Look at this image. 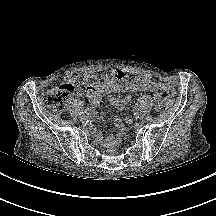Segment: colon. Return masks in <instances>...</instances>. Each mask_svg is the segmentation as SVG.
I'll return each mask as SVG.
<instances>
[{
  "instance_id": "obj_1",
  "label": "colon",
  "mask_w": 216,
  "mask_h": 216,
  "mask_svg": "<svg viewBox=\"0 0 216 216\" xmlns=\"http://www.w3.org/2000/svg\"><path fill=\"white\" fill-rule=\"evenodd\" d=\"M87 79L81 77L79 74L73 72L67 76V78L56 88L47 91L43 97V103L49 108L61 112L64 110L66 104L76 92L77 85L79 82H86ZM163 103L166 107L173 105L175 101V94L169 87H163L160 90ZM109 152H114L112 147L107 149Z\"/></svg>"
}]
</instances>
